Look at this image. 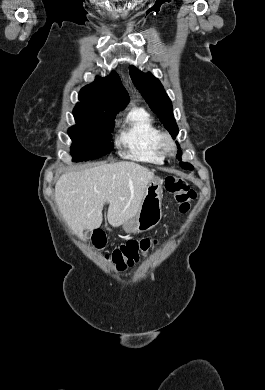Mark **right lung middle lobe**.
<instances>
[{
  "label": "right lung middle lobe",
  "instance_id": "dd1d6c3e",
  "mask_svg": "<svg viewBox=\"0 0 265 390\" xmlns=\"http://www.w3.org/2000/svg\"><path fill=\"white\" fill-rule=\"evenodd\" d=\"M76 125L68 129L73 141L70 153L74 161L96 159L113 149L111 132L116 115L87 108H74Z\"/></svg>",
  "mask_w": 265,
  "mask_h": 390
}]
</instances>
